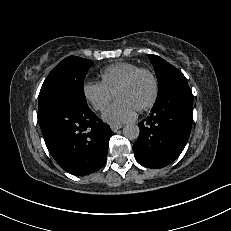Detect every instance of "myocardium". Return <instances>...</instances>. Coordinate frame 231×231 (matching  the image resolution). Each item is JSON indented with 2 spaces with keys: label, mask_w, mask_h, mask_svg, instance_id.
<instances>
[{
  "label": "myocardium",
  "mask_w": 231,
  "mask_h": 231,
  "mask_svg": "<svg viewBox=\"0 0 231 231\" xmlns=\"http://www.w3.org/2000/svg\"><path fill=\"white\" fill-rule=\"evenodd\" d=\"M148 75L152 81V85H153V89H152V94L149 98V100L143 104L140 108L137 109L138 112H143L146 111L148 109H150L156 102L158 95H159V82H158V78L156 76V74L148 69V68H138L137 70H135L134 72H132L128 77H126L121 83L120 85L117 87L116 91H115V96H117V93L130 86L140 75Z\"/></svg>",
  "instance_id": "f54148a6"
}]
</instances>
